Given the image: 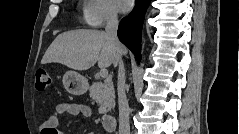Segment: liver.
Masks as SVG:
<instances>
[{"instance_id": "6515ba94", "label": "liver", "mask_w": 239, "mask_h": 134, "mask_svg": "<svg viewBox=\"0 0 239 134\" xmlns=\"http://www.w3.org/2000/svg\"><path fill=\"white\" fill-rule=\"evenodd\" d=\"M127 54L116 47L106 32L81 29L59 34L46 50L41 63H60L74 70H87L98 62L100 68L116 65Z\"/></svg>"}]
</instances>
